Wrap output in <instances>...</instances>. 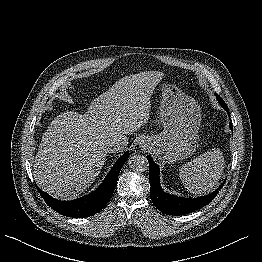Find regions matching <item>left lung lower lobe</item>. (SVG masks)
I'll return each mask as SVG.
<instances>
[{
    "label": "left lung lower lobe",
    "mask_w": 262,
    "mask_h": 262,
    "mask_svg": "<svg viewBox=\"0 0 262 262\" xmlns=\"http://www.w3.org/2000/svg\"><path fill=\"white\" fill-rule=\"evenodd\" d=\"M229 114L227 106H222ZM230 129L233 131L232 124L229 123ZM149 162V180H150V196L155 207L161 212L169 215L180 216L198 210L209 204L223 187L222 183L219 188L211 194L197 198H183L165 193L160 186L159 166L154 163L151 156H147Z\"/></svg>",
    "instance_id": "left-lung-lower-lobe-1"
}]
</instances>
